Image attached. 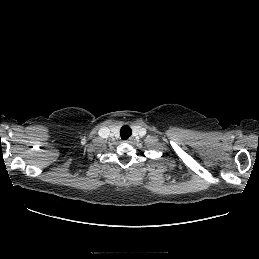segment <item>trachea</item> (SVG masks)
<instances>
[{
    "label": "trachea",
    "instance_id": "3493384b",
    "mask_svg": "<svg viewBox=\"0 0 259 259\" xmlns=\"http://www.w3.org/2000/svg\"><path fill=\"white\" fill-rule=\"evenodd\" d=\"M132 134V130L129 126L124 125L121 129H120V136L123 140L128 139Z\"/></svg>",
    "mask_w": 259,
    "mask_h": 259
}]
</instances>
